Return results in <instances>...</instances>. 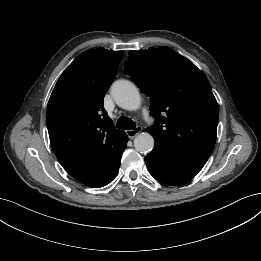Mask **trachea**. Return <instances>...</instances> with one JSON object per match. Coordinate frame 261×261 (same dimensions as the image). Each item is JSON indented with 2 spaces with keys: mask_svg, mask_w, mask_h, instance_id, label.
<instances>
[{
  "mask_svg": "<svg viewBox=\"0 0 261 261\" xmlns=\"http://www.w3.org/2000/svg\"><path fill=\"white\" fill-rule=\"evenodd\" d=\"M117 128L119 129H124V130H133L136 129V124L135 122L128 117L122 116L117 120L116 124Z\"/></svg>",
  "mask_w": 261,
  "mask_h": 261,
  "instance_id": "obj_1",
  "label": "trachea"
}]
</instances>
